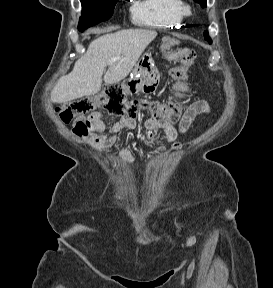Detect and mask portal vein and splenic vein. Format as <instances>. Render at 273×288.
<instances>
[{"instance_id": "1", "label": "portal vein and splenic vein", "mask_w": 273, "mask_h": 288, "mask_svg": "<svg viewBox=\"0 0 273 288\" xmlns=\"http://www.w3.org/2000/svg\"><path fill=\"white\" fill-rule=\"evenodd\" d=\"M119 59H120V58H119V57H117V58H114V59H113V61H117V60H119Z\"/></svg>"}]
</instances>
